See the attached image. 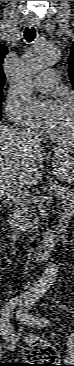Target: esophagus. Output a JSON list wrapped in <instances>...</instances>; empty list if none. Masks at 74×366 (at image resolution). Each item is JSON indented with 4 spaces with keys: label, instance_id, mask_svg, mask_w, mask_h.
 Here are the masks:
<instances>
[{
    "label": "esophagus",
    "instance_id": "34e87169",
    "mask_svg": "<svg viewBox=\"0 0 74 366\" xmlns=\"http://www.w3.org/2000/svg\"><path fill=\"white\" fill-rule=\"evenodd\" d=\"M39 24V21L37 19L31 18L27 20V25L29 27L37 26Z\"/></svg>",
    "mask_w": 74,
    "mask_h": 366
}]
</instances>
